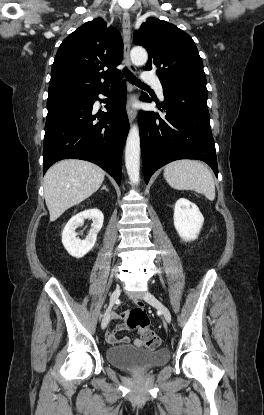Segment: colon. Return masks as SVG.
<instances>
[{"label": "colon", "mask_w": 264, "mask_h": 415, "mask_svg": "<svg viewBox=\"0 0 264 415\" xmlns=\"http://www.w3.org/2000/svg\"><path fill=\"white\" fill-rule=\"evenodd\" d=\"M127 324L131 328L138 329L144 347L151 349L159 347L160 339L150 327V320L143 306H137L129 312Z\"/></svg>", "instance_id": "5ec220e1"}]
</instances>
